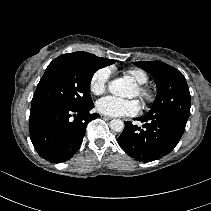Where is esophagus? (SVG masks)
Returning <instances> with one entry per match:
<instances>
[{"mask_svg":"<svg viewBox=\"0 0 211 211\" xmlns=\"http://www.w3.org/2000/svg\"><path fill=\"white\" fill-rule=\"evenodd\" d=\"M102 117H103L104 119H106V120H110V119H112V117H110V116H106V115H102Z\"/></svg>","mask_w":211,"mask_h":211,"instance_id":"esophagus-1","label":"esophagus"}]
</instances>
